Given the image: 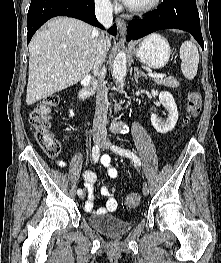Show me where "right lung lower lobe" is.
<instances>
[{
	"label": "right lung lower lobe",
	"instance_id": "obj_1",
	"mask_svg": "<svg viewBox=\"0 0 221 263\" xmlns=\"http://www.w3.org/2000/svg\"><path fill=\"white\" fill-rule=\"evenodd\" d=\"M55 16L74 17L104 29L96 19L94 0H31L28 11L27 43L37 29ZM108 32L116 35V25H113Z\"/></svg>",
	"mask_w": 221,
	"mask_h": 263
}]
</instances>
